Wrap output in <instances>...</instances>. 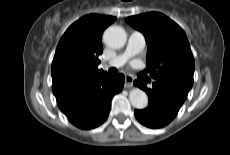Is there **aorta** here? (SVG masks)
I'll use <instances>...</instances> for the list:
<instances>
[{"label": "aorta", "instance_id": "aorta-1", "mask_svg": "<svg viewBox=\"0 0 230 155\" xmlns=\"http://www.w3.org/2000/svg\"><path fill=\"white\" fill-rule=\"evenodd\" d=\"M103 40L107 46L118 49L125 45L127 35L122 27L110 26L104 32ZM129 99L132 106L137 109H143L148 105V97L146 93L139 88H134L130 91Z\"/></svg>", "mask_w": 230, "mask_h": 155}]
</instances>
